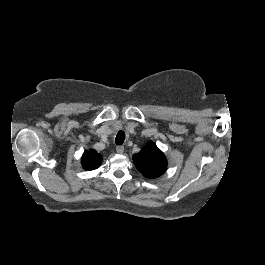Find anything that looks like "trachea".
<instances>
[{
  "label": "trachea",
  "instance_id": "1",
  "mask_svg": "<svg viewBox=\"0 0 265 265\" xmlns=\"http://www.w3.org/2000/svg\"><path fill=\"white\" fill-rule=\"evenodd\" d=\"M124 140H125V132L123 130H119L115 138V142L117 145H121L123 144Z\"/></svg>",
  "mask_w": 265,
  "mask_h": 265
}]
</instances>
